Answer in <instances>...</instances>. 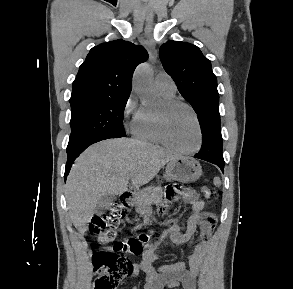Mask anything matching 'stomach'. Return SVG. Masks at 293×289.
<instances>
[{"label": "stomach", "instance_id": "stomach-1", "mask_svg": "<svg viewBox=\"0 0 293 289\" xmlns=\"http://www.w3.org/2000/svg\"><path fill=\"white\" fill-rule=\"evenodd\" d=\"M202 175V168L198 161L188 157H179L167 163L164 178L168 181L191 183Z\"/></svg>", "mask_w": 293, "mask_h": 289}]
</instances>
